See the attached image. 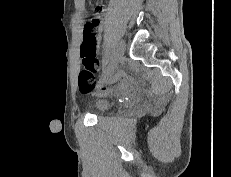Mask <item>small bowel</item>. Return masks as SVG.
<instances>
[{"mask_svg": "<svg viewBox=\"0 0 231 177\" xmlns=\"http://www.w3.org/2000/svg\"><path fill=\"white\" fill-rule=\"evenodd\" d=\"M101 12H102V10H101V8H99V11L94 15V17L92 18L91 23H90L95 27V30L97 32V47H98L99 42H100L99 32L102 30V27H103V18H102ZM85 26L86 25H84V28H85ZM84 28H83V32H84ZM126 89H127V86L125 84H120L114 88V91L123 92Z\"/></svg>", "mask_w": 231, "mask_h": 177, "instance_id": "obj_1", "label": "small bowel"}]
</instances>
